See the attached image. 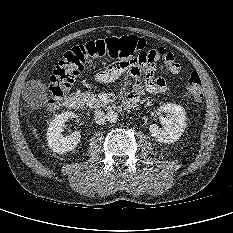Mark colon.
<instances>
[{"mask_svg": "<svg viewBox=\"0 0 233 233\" xmlns=\"http://www.w3.org/2000/svg\"><path fill=\"white\" fill-rule=\"evenodd\" d=\"M143 48H151L144 39L133 35L111 37L102 40L90 41L77 45L66 51L50 77L48 87V104L55 106L64 96L65 92L74 83L76 77L82 73L85 64L93 59H112L123 61L126 58L135 57ZM162 48V47H159ZM167 53V60L162 64L164 72L179 74L181 66L174 61L171 53ZM113 63V64H114ZM188 91L195 101L203 99V84L197 72H192L186 77Z\"/></svg>", "mask_w": 233, "mask_h": 233, "instance_id": "1", "label": "colon"}]
</instances>
